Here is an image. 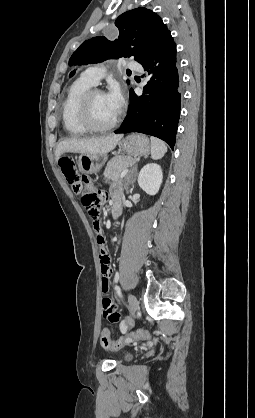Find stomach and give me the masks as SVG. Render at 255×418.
I'll return each mask as SVG.
<instances>
[{
  "mask_svg": "<svg viewBox=\"0 0 255 418\" xmlns=\"http://www.w3.org/2000/svg\"><path fill=\"white\" fill-rule=\"evenodd\" d=\"M120 147L128 156L147 155L151 145L149 139L140 134H132L123 138ZM107 160L106 154H81L78 160L79 170L84 174L97 173Z\"/></svg>",
  "mask_w": 255,
  "mask_h": 418,
  "instance_id": "0dacf381",
  "label": "stomach"
}]
</instances>
